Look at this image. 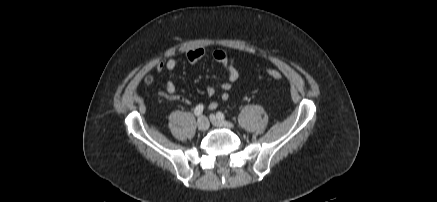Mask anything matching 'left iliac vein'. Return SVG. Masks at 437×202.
<instances>
[{
	"label": "left iliac vein",
	"mask_w": 437,
	"mask_h": 202,
	"mask_svg": "<svg viewBox=\"0 0 437 202\" xmlns=\"http://www.w3.org/2000/svg\"><path fill=\"white\" fill-rule=\"evenodd\" d=\"M209 118H210L211 123L217 127H224V128H233L234 127V125L231 122L219 119L214 114H211L209 116Z\"/></svg>",
	"instance_id": "4c4485c4"
}]
</instances>
